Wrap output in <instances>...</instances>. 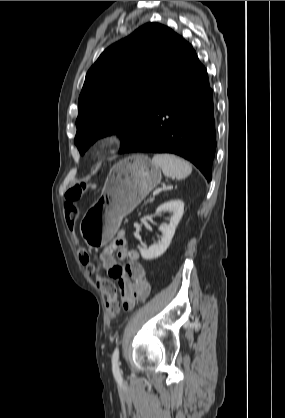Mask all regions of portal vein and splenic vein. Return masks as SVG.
<instances>
[{"mask_svg":"<svg viewBox=\"0 0 285 418\" xmlns=\"http://www.w3.org/2000/svg\"><path fill=\"white\" fill-rule=\"evenodd\" d=\"M161 192V188H157L154 192H153V196L158 195Z\"/></svg>","mask_w":285,"mask_h":418,"instance_id":"18ae733b","label":"portal vein and splenic vein"}]
</instances>
